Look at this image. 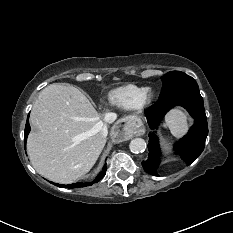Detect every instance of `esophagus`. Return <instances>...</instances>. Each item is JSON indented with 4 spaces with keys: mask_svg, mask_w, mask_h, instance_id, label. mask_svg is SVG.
<instances>
[{
    "mask_svg": "<svg viewBox=\"0 0 233 233\" xmlns=\"http://www.w3.org/2000/svg\"><path fill=\"white\" fill-rule=\"evenodd\" d=\"M141 120L136 116H127L120 120L116 125L113 135L116 139L121 140L141 133Z\"/></svg>",
    "mask_w": 233,
    "mask_h": 233,
    "instance_id": "esophagus-1",
    "label": "esophagus"
}]
</instances>
